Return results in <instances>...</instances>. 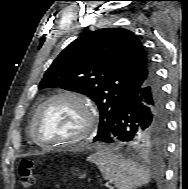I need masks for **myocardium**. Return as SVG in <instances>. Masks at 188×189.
Segmentation results:
<instances>
[{"label":"myocardium","instance_id":"f54148a6","mask_svg":"<svg viewBox=\"0 0 188 189\" xmlns=\"http://www.w3.org/2000/svg\"><path fill=\"white\" fill-rule=\"evenodd\" d=\"M61 99H70L78 103L81 108L84 111L85 114V124L82 128V130L74 137L63 139V140H57L52 142H44L39 139L37 135V124L40 116L42 115L43 111L46 109L47 106H49L51 103L61 100ZM98 123V116L97 111L94 106V104L91 102V100L86 97L85 95L74 92V91H61L58 92L49 98H47L36 110L30 127V133L31 137L34 140L35 143H37L40 146L43 147H61V146H68V145H74L76 143H79L86 139L89 135L93 133V131L96 129Z\"/></svg>","mask_w":188,"mask_h":189}]
</instances>
